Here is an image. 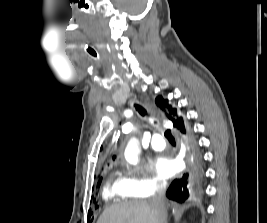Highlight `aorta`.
<instances>
[{"label":"aorta","mask_w":267,"mask_h":223,"mask_svg":"<svg viewBox=\"0 0 267 223\" xmlns=\"http://www.w3.org/2000/svg\"><path fill=\"white\" fill-rule=\"evenodd\" d=\"M138 153L139 150L136 140L135 139L130 140L124 152L125 159L129 163L136 165L138 163Z\"/></svg>","instance_id":"obj_1"}]
</instances>
